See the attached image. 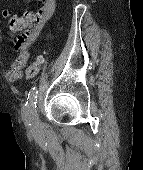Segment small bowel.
I'll use <instances>...</instances> for the list:
<instances>
[{"label": "small bowel", "instance_id": "c3829d8e", "mask_svg": "<svg viewBox=\"0 0 143 170\" xmlns=\"http://www.w3.org/2000/svg\"><path fill=\"white\" fill-rule=\"evenodd\" d=\"M40 1L42 3V7L34 14L33 18L27 25L23 27H13L9 25L12 32L24 30L22 37L19 38L14 44L15 48L19 51V55L6 71V77L11 82H17L22 78L23 70L27 65L29 57L28 48L35 42L41 30L55 11L56 0ZM9 21L26 23V20L23 16L11 17Z\"/></svg>", "mask_w": 143, "mask_h": 170}]
</instances>
